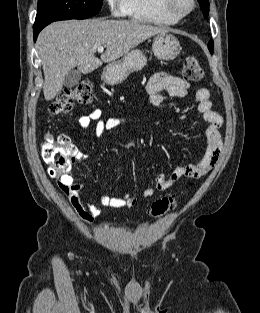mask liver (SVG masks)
Segmentation results:
<instances>
[{
	"instance_id": "obj_1",
	"label": "liver",
	"mask_w": 260,
	"mask_h": 313,
	"mask_svg": "<svg viewBox=\"0 0 260 313\" xmlns=\"http://www.w3.org/2000/svg\"><path fill=\"white\" fill-rule=\"evenodd\" d=\"M169 29L134 20H67L51 23L38 36L36 47L41 58L46 101L62 89L64 78L75 67L83 74L126 55L131 49ZM104 46L100 59L95 49Z\"/></svg>"
}]
</instances>
